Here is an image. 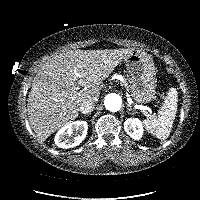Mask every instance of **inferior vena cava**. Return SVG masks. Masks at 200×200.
Here are the masks:
<instances>
[{"instance_id": "602c4592", "label": "inferior vena cava", "mask_w": 200, "mask_h": 200, "mask_svg": "<svg viewBox=\"0 0 200 200\" xmlns=\"http://www.w3.org/2000/svg\"><path fill=\"white\" fill-rule=\"evenodd\" d=\"M95 103L92 100H85L82 102L79 111L82 114H88L93 111Z\"/></svg>"}]
</instances>
